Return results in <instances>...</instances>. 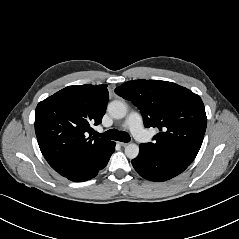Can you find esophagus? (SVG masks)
I'll use <instances>...</instances> for the list:
<instances>
[{
	"label": "esophagus",
	"mask_w": 239,
	"mask_h": 239,
	"mask_svg": "<svg viewBox=\"0 0 239 239\" xmlns=\"http://www.w3.org/2000/svg\"><path fill=\"white\" fill-rule=\"evenodd\" d=\"M120 146H122V147H125V146H127L128 145V143H125V142H117Z\"/></svg>",
	"instance_id": "obj_1"
}]
</instances>
